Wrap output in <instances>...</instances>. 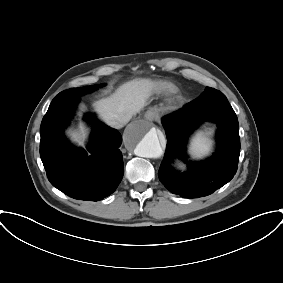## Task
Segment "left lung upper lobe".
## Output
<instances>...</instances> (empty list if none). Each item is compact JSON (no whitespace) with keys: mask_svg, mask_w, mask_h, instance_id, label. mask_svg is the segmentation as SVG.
<instances>
[{"mask_svg":"<svg viewBox=\"0 0 283 283\" xmlns=\"http://www.w3.org/2000/svg\"><path fill=\"white\" fill-rule=\"evenodd\" d=\"M204 93L212 98L226 99V96L223 93H221L220 91L216 89L210 88V87H207ZM234 123L238 125L237 117L235 118Z\"/></svg>","mask_w":283,"mask_h":283,"instance_id":"5c2ea615","label":"left lung upper lobe"}]
</instances>
